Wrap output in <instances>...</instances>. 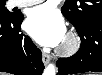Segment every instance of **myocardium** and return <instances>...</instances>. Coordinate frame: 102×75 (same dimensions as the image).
Returning a JSON list of instances; mask_svg holds the SVG:
<instances>
[{"mask_svg": "<svg viewBox=\"0 0 102 75\" xmlns=\"http://www.w3.org/2000/svg\"><path fill=\"white\" fill-rule=\"evenodd\" d=\"M80 46L81 39L79 35L74 31H69L59 47V53L64 56H71L79 50Z\"/></svg>", "mask_w": 102, "mask_h": 75, "instance_id": "myocardium-1", "label": "myocardium"}]
</instances>
